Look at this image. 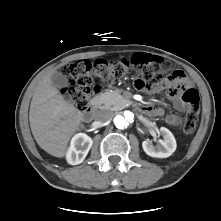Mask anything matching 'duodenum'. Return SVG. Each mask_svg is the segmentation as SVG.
I'll use <instances>...</instances> for the list:
<instances>
[{
  "mask_svg": "<svg viewBox=\"0 0 221 221\" xmlns=\"http://www.w3.org/2000/svg\"><path fill=\"white\" fill-rule=\"evenodd\" d=\"M102 90V88L100 86H97L94 88V93L90 99V106L89 109L84 110V112L82 113L83 119L87 120L92 116L93 110L96 108V106L99 103V93ZM138 109L140 111H145L144 107H138Z\"/></svg>",
  "mask_w": 221,
  "mask_h": 221,
  "instance_id": "duodenum-1",
  "label": "duodenum"
}]
</instances>
